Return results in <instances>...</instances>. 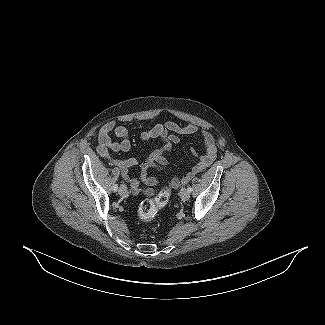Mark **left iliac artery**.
<instances>
[{"instance_id": "left-iliac-artery-1", "label": "left iliac artery", "mask_w": 325, "mask_h": 325, "mask_svg": "<svg viewBox=\"0 0 325 325\" xmlns=\"http://www.w3.org/2000/svg\"><path fill=\"white\" fill-rule=\"evenodd\" d=\"M187 190H188L189 193L192 192V188L191 187H188Z\"/></svg>"}]
</instances>
